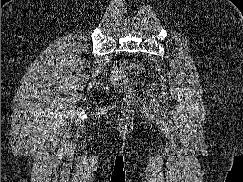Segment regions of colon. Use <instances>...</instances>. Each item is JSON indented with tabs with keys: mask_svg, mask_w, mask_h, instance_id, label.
<instances>
[{
	"mask_svg": "<svg viewBox=\"0 0 243 182\" xmlns=\"http://www.w3.org/2000/svg\"><path fill=\"white\" fill-rule=\"evenodd\" d=\"M139 66L135 63L128 64L126 61H118L114 64L112 69V82L122 90L128 89V81L126 78V69H137Z\"/></svg>",
	"mask_w": 243,
	"mask_h": 182,
	"instance_id": "obj_1",
	"label": "colon"
}]
</instances>
